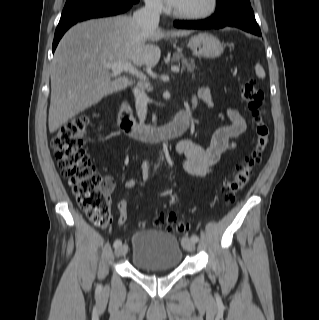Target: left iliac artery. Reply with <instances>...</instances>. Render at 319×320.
Returning a JSON list of instances; mask_svg holds the SVG:
<instances>
[{
  "instance_id": "44dca946",
  "label": "left iliac artery",
  "mask_w": 319,
  "mask_h": 320,
  "mask_svg": "<svg viewBox=\"0 0 319 320\" xmlns=\"http://www.w3.org/2000/svg\"><path fill=\"white\" fill-rule=\"evenodd\" d=\"M193 242H197L199 240L198 236L197 235H192L191 238H190Z\"/></svg>"
}]
</instances>
